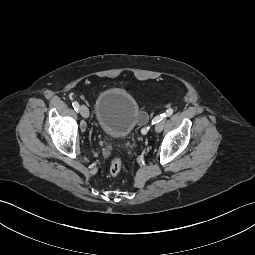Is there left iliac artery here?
Listing matches in <instances>:
<instances>
[{"mask_svg": "<svg viewBox=\"0 0 255 255\" xmlns=\"http://www.w3.org/2000/svg\"><path fill=\"white\" fill-rule=\"evenodd\" d=\"M172 114H173V109H172V108H169V109L166 110L165 113L160 114L159 116H156V117L152 120V124H156V123L160 122L162 119H164L165 117H169V116H171ZM147 132H148V128H147V129L144 128V129L142 130V134H143V135H146Z\"/></svg>", "mask_w": 255, "mask_h": 255, "instance_id": "44dca946", "label": "left iliac artery"}]
</instances>
